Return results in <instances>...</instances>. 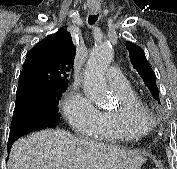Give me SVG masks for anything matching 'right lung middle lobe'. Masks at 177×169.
<instances>
[{
  "mask_svg": "<svg viewBox=\"0 0 177 169\" xmlns=\"http://www.w3.org/2000/svg\"><path fill=\"white\" fill-rule=\"evenodd\" d=\"M65 90L66 88L44 94L27 93L16 96L13 118L37 116L49 118L54 122L59 121L60 114L58 113V104L61 95Z\"/></svg>",
  "mask_w": 177,
  "mask_h": 169,
  "instance_id": "1",
  "label": "right lung middle lobe"
}]
</instances>
